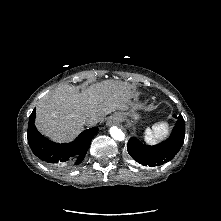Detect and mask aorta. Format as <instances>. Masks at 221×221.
Returning a JSON list of instances; mask_svg holds the SVG:
<instances>
[{
    "label": "aorta",
    "mask_w": 221,
    "mask_h": 221,
    "mask_svg": "<svg viewBox=\"0 0 221 221\" xmlns=\"http://www.w3.org/2000/svg\"><path fill=\"white\" fill-rule=\"evenodd\" d=\"M109 132H110L111 137L117 141H123L125 139L124 132L117 126H112Z\"/></svg>",
    "instance_id": "1"
}]
</instances>
